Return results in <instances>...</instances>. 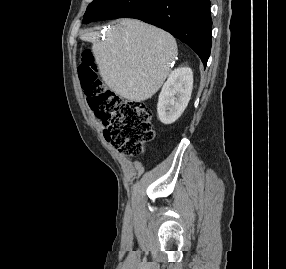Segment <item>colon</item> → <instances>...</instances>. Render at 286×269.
Returning a JSON list of instances; mask_svg holds the SVG:
<instances>
[{"mask_svg":"<svg viewBox=\"0 0 286 269\" xmlns=\"http://www.w3.org/2000/svg\"><path fill=\"white\" fill-rule=\"evenodd\" d=\"M78 71L88 103L105 126L106 139L126 156L142 155L144 144L154 137L150 109L144 102L126 101L107 90L91 55H83Z\"/></svg>","mask_w":286,"mask_h":269,"instance_id":"1","label":"colon"}]
</instances>
